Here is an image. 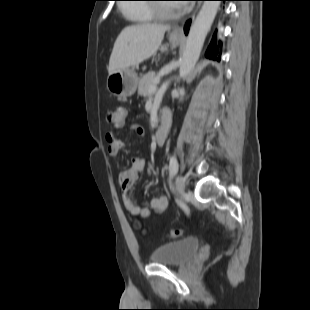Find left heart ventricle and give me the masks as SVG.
I'll return each instance as SVG.
<instances>
[{
  "instance_id": "left-heart-ventricle-1",
  "label": "left heart ventricle",
  "mask_w": 310,
  "mask_h": 310,
  "mask_svg": "<svg viewBox=\"0 0 310 310\" xmlns=\"http://www.w3.org/2000/svg\"><path fill=\"white\" fill-rule=\"evenodd\" d=\"M169 9H174L172 5H167Z\"/></svg>"
}]
</instances>
